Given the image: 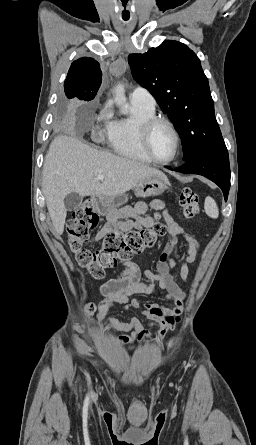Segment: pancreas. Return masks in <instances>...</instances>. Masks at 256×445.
Segmentation results:
<instances>
[{
	"instance_id": "cf45deb5",
	"label": "pancreas",
	"mask_w": 256,
	"mask_h": 445,
	"mask_svg": "<svg viewBox=\"0 0 256 445\" xmlns=\"http://www.w3.org/2000/svg\"><path fill=\"white\" fill-rule=\"evenodd\" d=\"M141 205L143 207L144 212L147 211V205L144 202H142Z\"/></svg>"
}]
</instances>
